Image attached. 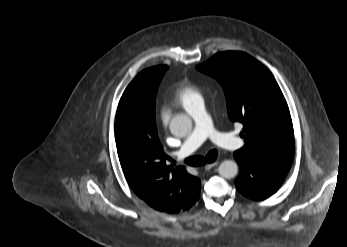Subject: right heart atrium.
<instances>
[{"mask_svg": "<svg viewBox=\"0 0 347 247\" xmlns=\"http://www.w3.org/2000/svg\"><path fill=\"white\" fill-rule=\"evenodd\" d=\"M169 119H170V117H169L167 112L162 111L160 113V121H161L162 125L166 126L169 123Z\"/></svg>", "mask_w": 347, "mask_h": 247, "instance_id": "d8ad5b80", "label": "right heart atrium"}]
</instances>
